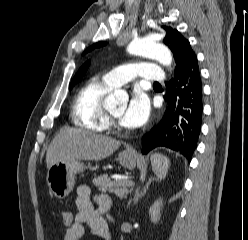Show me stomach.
I'll return each mask as SVG.
<instances>
[{
  "label": "stomach",
  "instance_id": "1",
  "mask_svg": "<svg viewBox=\"0 0 248 240\" xmlns=\"http://www.w3.org/2000/svg\"><path fill=\"white\" fill-rule=\"evenodd\" d=\"M138 161L137 155L130 150L119 154V162L122 166L133 169ZM84 163L74 160L58 162L52 165L47 172V184L50 191L58 199L69 195L75 184V175L85 170Z\"/></svg>",
  "mask_w": 248,
  "mask_h": 240
}]
</instances>
